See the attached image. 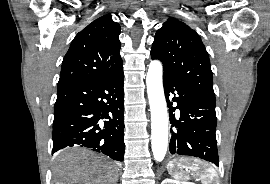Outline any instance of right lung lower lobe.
<instances>
[{
	"instance_id": "98d812e1",
	"label": "right lung lower lobe",
	"mask_w": 270,
	"mask_h": 184,
	"mask_svg": "<svg viewBox=\"0 0 270 184\" xmlns=\"http://www.w3.org/2000/svg\"><path fill=\"white\" fill-rule=\"evenodd\" d=\"M123 78L121 70L105 78L58 89L52 154L77 144L123 161Z\"/></svg>"
}]
</instances>
